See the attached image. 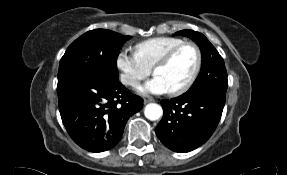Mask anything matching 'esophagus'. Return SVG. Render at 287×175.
I'll list each match as a JSON object with an SVG mask.
<instances>
[{
	"label": "esophagus",
	"mask_w": 287,
	"mask_h": 175,
	"mask_svg": "<svg viewBox=\"0 0 287 175\" xmlns=\"http://www.w3.org/2000/svg\"><path fill=\"white\" fill-rule=\"evenodd\" d=\"M153 99L152 98H144V104H147L149 102H152Z\"/></svg>",
	"instance_id": "1"
}]
</instances>
